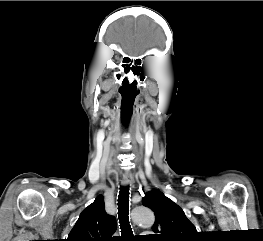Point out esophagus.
<instances>
[{"label": "esophagus", "mask_w": 263, "mask_h": 241, "mask_svg": "<svg viewBox=\"0 0 263 241\" xmlns=\"http://www.w3.org/2000/svg\"><path fill=\"white\" fill-rule=\"evenodd\" d=\"M131 181H132L131 176L128 174H124L121 180V184L122 186L126 187L131 183Z\"/></svg>", "instance_id": "1"}]
</instances>
